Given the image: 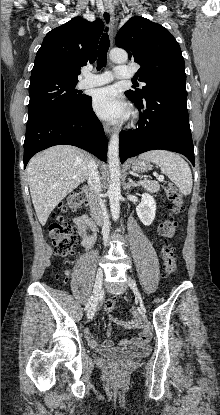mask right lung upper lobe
<instances>
[{
	"mask_svg": "<svg viewBox=\"0 0 220 415\" xmlns=\"http://www.w3.org/2000/svg\"><path fill=\"white\" fill-rule=\"evenodd\" d=\"M104 24L75 17L51 30L39 48L30 80L58 78L78 81L81 66L96 60V51Z\"/></svg>",
	"mask_w": 220,
	"mask_h": 415,
	"instance_id": "right-lung-upper-lobe-1",
	"label": "right lung upper lobe"
}]
</instances>
